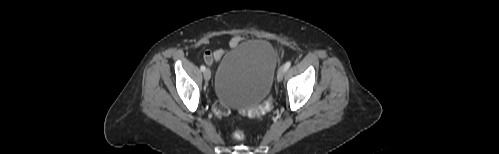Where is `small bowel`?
I'll return each instance as SVG.
<instances>
[{"label":"small bowel","mask_w":499,"mask_h":154,"mask_svg":"<svg viewBox=\"0 0 499 154\" xmlns=\"http://www.w3.org/2000/svg\"><path fill=\"white\" fill-rule=\"evenodd\" d=\"M246 39H248V37L245 35H237L232 37L229 41V48L231 49L236 48L241 42H243ZM226 51L227 50L225 49H218L213 53L209 52V54L205 55V61L208 64L213 65L221 59V57L226 53Z\"/></svg>","instance_id":"small-bowel-1"}]
</instances>
